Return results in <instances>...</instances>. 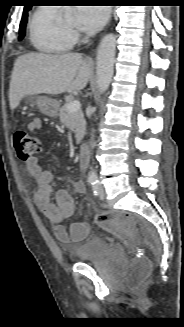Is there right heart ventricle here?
<instances>
[{
    "mask_svg": "<svg viewBox=\"0 0 184 327\" xmlns=\"http://www.w3.org/2000/svg\"><path fill=\"white\" fill-rule=\"evenodd\" d=\"M58 9L55 7H38L30 17L28 33L31 44L45 53H62L69 51L75 39L57 21Z\"/></svg>",
    "mask_w": 184,
    "mask_h": 327,
    "instance_id": "right-heart-ventricle-1",
    "label": "right heart ventricle"
}]
</instances>
